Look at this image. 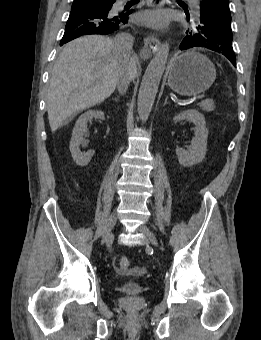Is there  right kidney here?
Segmentation results:
<instances>
[{"label":"right kidney","instance_id":"ca27d5eb","mask_svg":"<svg viewBox=\"0 0 261 340\" xmlns=\"http://www.w3.org/2000/svg\"><path fill=\"white\" fill-rule=\"evenodd\" d=\"M93 118L104 119L105 116L102 111L89 110L78 118L72 132L69 148L74 162L79 166H86L94 155V150L86 153L80 150V145L84 142L83 136L87 133V123Z\"/></svg>","mask_w":261,"mask_h":340}]
</instances>
